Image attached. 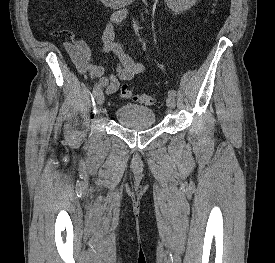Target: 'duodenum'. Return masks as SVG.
I'll return each instance as SVG.
<instances>
[{"instance_id": "410a0bca", "label": "duodenum", "mask_w": 275, "mask_h": 263, "mask_svg": "<svg viewBox=\"0 0 275 263\" xmlns=\"http://www.w3.org/2000/svg\"><path fill=\"white\" fill-rule=\"evenodd\" d=\"M105 6L107 7H113V8H118V7H125L135 0H100Z\"/></svg>"}]
</instances>
